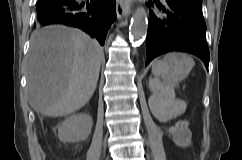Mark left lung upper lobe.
<instances>
[{"label":"left lung upper lobe","mask_w":242,"mask_h":160,"mask_svg":"<svg viewBox=\"0 0 242 160\" xmlns=\"http://www.w3.org/2000/svg\"><path fill=\"white\" fill-rule=\"evenodd\" d=\"M193 1H195V2H197V3H201V4H202V0H193Z\"/></svg>","instance_id":"left-lung-upper-lobe-1"}]
</instances>
